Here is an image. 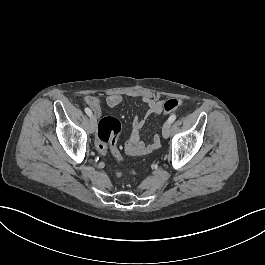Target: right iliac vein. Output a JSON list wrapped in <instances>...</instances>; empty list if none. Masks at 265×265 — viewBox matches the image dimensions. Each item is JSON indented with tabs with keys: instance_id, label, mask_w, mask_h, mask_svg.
I'll return each mask as SVG.
<instances>
[{
	"instance_id": "obj_1",
	"label": "right iliac vein",
	"mask_w": 265,
	"mask_h": 265,
	"mask_svg": "<svg viewBox=\"0 0 265 265\" xmlns=\"http://www.w3.org/2000/svg\"><path fill=\"white\" fill-rule=\"evenodd\" d=\"M88 127H89V130H90L91 133L95 132L96 127H97V120H96L95 117H92L90 119Z\"/></svg>"
}]
</instances>
